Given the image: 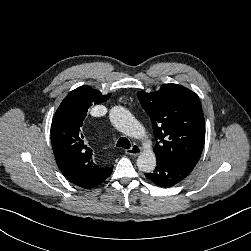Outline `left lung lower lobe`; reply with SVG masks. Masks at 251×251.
Segmentation results:
<instances>
[{"label":"left lung lower lobe","mask_w":251,"mask_h":251,"mask_svg":"<svg viewBox=\"0 0 251 251\" xmlns=\"http://www.w3.org/2000/svg\"><path fill=\"white\" fill-rule=\"evenodd\" d=\"M190 173L191 170L179 164L157 159L155 171L145 176L160 187H171L184 180Z\"/></svg>","instance_id":"1"}]
</instances>
